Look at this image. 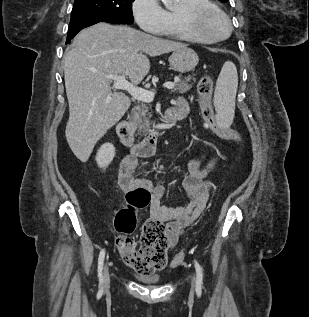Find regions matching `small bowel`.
Masks as SVG:
<instances>
[{"label": "small bowel", "instance_id": "1", "mask_svg": "<svg viewBox=\"0 0 309 317\" xmlns=\"http://www.w3.org/2000/svg\"><path fill=\"white\" fill-rule=\"evenodd\" d=\"M174 108L179 115L177 120L184 118L189 112L188 104L183 99H178ZM214 164L215 159L206 163H203L200 158L189 161V173L183 179V191L187 201L177 206H166L162 203L166 194L164 186L154 185L147 178L134 176L138 165V159L134 155H128L122 160L118 173V185L124 194L135 189H145L150 193V217L166 224L169 247L173 248L184 229L192 224L206 208L212 187L208 175Z\"/></svg>", "mask_w": 309, "mask_h": 317}]
</instances>
